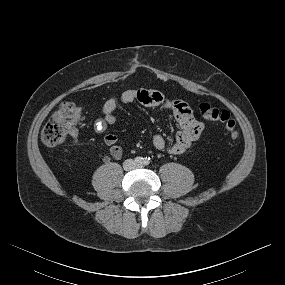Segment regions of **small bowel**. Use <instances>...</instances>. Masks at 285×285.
Masks as SVG:
<instances>
[{"label":"small bowel","instance_id":"small-bowel-1","mask_svg":"<svg viewBox=\"0 0 285 285\" xmlns=\"http://www.w3.org/2000/svg\"><path fill=\"white\" fill-rule=\"evenodd\" d=\"M139 102L148 107H158L170 110L179 127L174 140L168 142L160 134L152 136V144L158 150H165L170 154L179 155L186 152L193 142L198 140L203 132L204 124L196 119L191 108L182 101H173L166 99L160 92L144 88L128 89L118 96L110 97L103 105V117L95 121L94 129L97 134L103 135L104 143L110 147V154L115 160L121 159L123 149L114 134H107L109 125L116 123L115 110L119 103L130 104ZM72 142L78 143V132L71 134Z\"/></svg>","mask_w":285,"mask_h":285}]
</instances>
